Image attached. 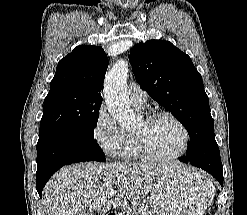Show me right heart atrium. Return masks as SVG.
Segmentation results:
<instances>
[{
    "label": "right heart atrium",
    "mask_w": 247,
    "mask_h": 215,
    "mask_svg": "<svg viewBox=\"0 0 247 215\" xmlns=\"http://www.w3.org/2000/svg\"><path fill=\"white\" fill-rule=\"evenodd\" d=\"M93 136L107 156L120 157L124 143V131L118 126L116 120L104 105L97 111L93 126Z\"/></svg>",
    "instance_id": "obj_1"
}]
</instances>
